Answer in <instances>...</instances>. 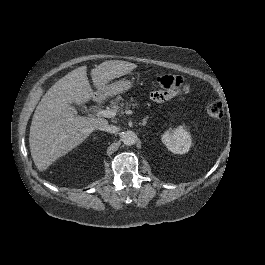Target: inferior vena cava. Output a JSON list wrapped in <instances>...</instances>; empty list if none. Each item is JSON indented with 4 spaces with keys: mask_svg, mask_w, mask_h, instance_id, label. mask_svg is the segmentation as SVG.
Segmentation results:
<instances>
[{
    "mask_svg": "<svg viewBox=\"0 0 265 265\" xmlns=\"http://www.w3.org/2000/svg\"><path fill=\"white\" fill-rule=\"evenodd\" d=\"M98 129L101 130V131H106V132H109V133H116L119 131V128L114 126V125H109V124H100L98 126Z\"/></svg>",
    "mask_w": 265,
    "mask_h": 265,
    "instance_id": "1",
    "label": "inferior vena cava"
}]
</instances>
